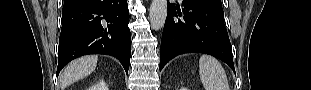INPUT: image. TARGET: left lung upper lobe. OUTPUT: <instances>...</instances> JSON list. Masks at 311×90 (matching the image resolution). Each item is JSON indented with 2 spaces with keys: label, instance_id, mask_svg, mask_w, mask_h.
I'll return each mask as SVG.
<instances>
[{
  "label": "left lung upper lobe",
  "instance_id": "obj_1",
  "mask_svg": "<svg viewBox=\"0 0 311 90\" xmlns=\"http://www.w3.org/2000/svg\"><path fill=\"white\" fill-rule=\"evenodd\" d=\"M202 2H205L207 4L213 5L217 8L222 9V4H221V0H200Z\"/></svg>",
  "mask_w": 311,
  "mask_h": 90
}]
</instances>
